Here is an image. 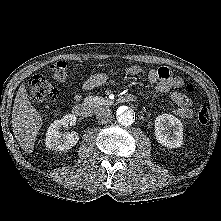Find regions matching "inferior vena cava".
Masks as SVG:
<instances>
[{
  "label": "inferior vena cava",
  "mask_w": 221,
  "mask_h": 221,
  "mask_svg": "<svg viewBox=\"0 0 221 221\" xmlns=\"http://www.w3.org/2000/svg\"><path fill=\"white\" fill-rule=\"evenodd\" d=\"M96 118L100 123H108L112 118V111L109 107H98L96 109Z\"/></svg>",
  "instance_id": "obj_1"
}]
</instances>
